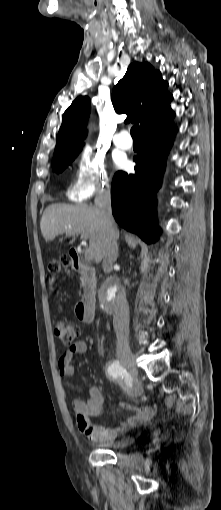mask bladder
<instances>
[{
	"label": "bladder",
	"instance_id": "bladder-1",
	"mask_svg": "<svg viewBox=\"0 0 221 510\" xmlns=\"http://www.w3.org/2000/svg\"><path fill=\"white\" fill-rule=\"evenodd\" d=\"M132 443H133L132 437H123V438H119V439H114L109 442H104L100 446H102L104 448H108L112 451H118V450H123V449L129 447Z\"/></svg>",
	"mask_w": 221,
	"mask_h": 510
}]
</instances>
